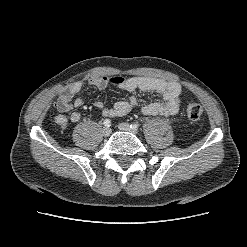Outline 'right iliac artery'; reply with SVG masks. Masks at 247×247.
I'll list each match as a JSON object with an SVG mask.
<instances>
[{"instance_id":"obj_1","label":"right iliac artery","mask_w":247,"mask_h":247,"mask_svg":"<svg viewBox=\"0 0 247 247\" xmlns=\"http://www.w3.org/2000/svg\"><path fill=\"white\" fill-rule=\"evenodd\" d=\"M103 124L107 127H109L111 125V121L109 119H105Z\"/></svg>"}]
</instances>
